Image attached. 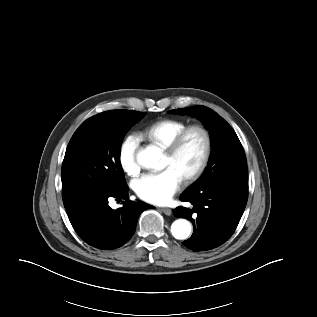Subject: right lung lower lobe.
Wrapping results in <instances>:
<instances>
[{
	"label": "right lung lower lobe",
	"instance_id": "right-lung-lower-lobe-1",
	"mask_svg": "<svg viewBox=\"0 0 317 317\" xmlns=\"http://www.w3.org/2000/svg\"><path fill=\"white\" fill-rule=\"evenodd\" d=\"M128 187L101 190L87 199L65 206L76 233L87 244L102 250L123 246L135 232L139 215L153 206L128 199ZM123 198V207L113 210L108 198Z\"/></svg>",
	"mask_w": 317,
	"mask_h": 317
}]
</instances>
